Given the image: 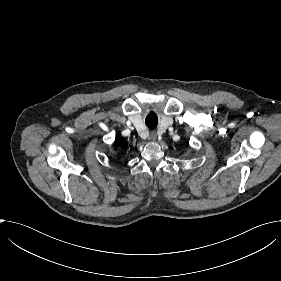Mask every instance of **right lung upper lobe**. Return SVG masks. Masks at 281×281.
Here are the masks:
<instances>
[{"mask_svg": "<svg viewBox=\"0 0 281 281\" xmlns=\"http://www.w3.org/2000/svg\"><path fill=\"white\" fill-rule=\"evenodd\" d=\"M118 147H127V143H124L122 139L117 138L114 144V149H117Z\"/></svg>", "mask_w": 281, "mask_h": 281, "instance_id": "cb5924a9", "label": "right lung upper lobe"}]
</instances>
